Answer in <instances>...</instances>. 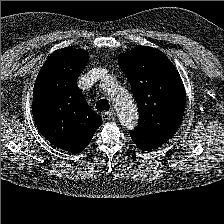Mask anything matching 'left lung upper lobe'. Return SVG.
Segmentation results:
<instances>
[{"mask_svg":"<svg viewBox=\"0 0 224 224\" xmlns=\"http://www.w3.org/2000/svg\"><path fill=\"white\" fill-rule=\"evenodd\" d=\"M139 109L134 131L166 143L177 131L185 110V89L180 75L160 50L140 46L119 58Z\"/></svg>","mask_w":224,"mask_h":224,"instance_id":"obj_1","label":"left lung upper lobe"}]
</instances>
